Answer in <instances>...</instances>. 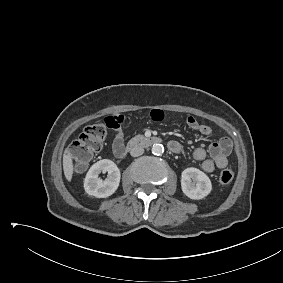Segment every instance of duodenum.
Returning <instances> with one entry per match:
<instances>
[{"label":"duodenum","mask_w":283,"mask_h":283,"mask_svg":"<svg viewBox=\"0 0 283 283\" xmlns=\"http://www.w3.org/2000/svg\"><path fill=\"white\" fill-rule=\"evenodd\" d=\"M161 139L159 137H137L132 139L121 151V156L119 158L125 157V155L132 149L137 147H149L154 144L160 143Z\"/></svg>","instance_id":"1"}]
</instances>
